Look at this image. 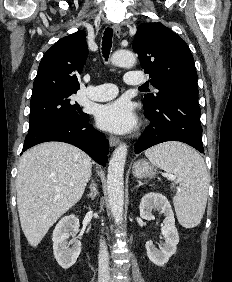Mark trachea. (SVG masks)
<instances>
[{"label":"trachea","mask_w":232,"mask_h":282,"mask_svg":"<svg viewBox=\"0 0 232 282\" xmlns=\"http://www.w3.org/2000/svg\"><path fill=\"white\" fill-rule=\"evenodd\" d=\"M112 37H113V29L106 28L102 40V54L105 60L108 59L110 54V50L112 46ZM140 88H143V86H141Z\"/></svg>","instance_id":"3493384b"}]
</instances>
